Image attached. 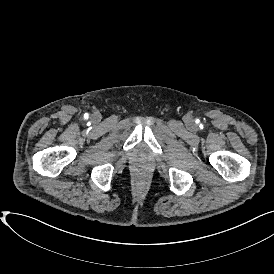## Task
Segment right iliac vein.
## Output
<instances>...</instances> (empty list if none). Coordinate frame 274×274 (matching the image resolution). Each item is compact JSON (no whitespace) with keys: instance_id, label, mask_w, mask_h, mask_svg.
I'll return each mask as SVG.
<instances>
[{"instance_id":"obj_1","label":"right iliac vein","mask_w":274,"mask_h":274,"mask_svg":"<svg viewBox=\"0 0 274 274\" xmlns=\"http://www.w3.org/2000/svg\"><path fill=\"white\" fill-rule=\"evenodd\" d=\"M100 118H101V116H100V114H99L98 112H95V113L92 115V120H93L94 122H99Z\"/></svg>"}]
</instances>
